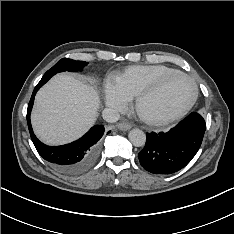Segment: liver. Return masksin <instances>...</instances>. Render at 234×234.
Segmentation results:
<instances>
[{"instance_id": "liver-1", "label": "liver", "mask_w": 234, "mask_h": 234, "mask_svg": "<svg viewBox=\"0 0 234 234\" xmlns=\"http://www.w3.org/2000/svg\"><path fill=\"white\" fill-rule=\"evenodd\" d=\"M99 103L92 85L68 74L56 75L35 97L31 114L34 132L48 145L78 139L95 123Z\"/></svg>"}]
</instances>
